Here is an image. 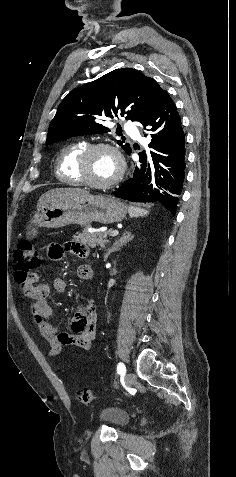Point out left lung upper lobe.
Returning <instances> with one entry per match:
<instances>
[{
  "mask_svg": "<svg viewBox=\"0 0 236 477\" xmlns=\"http://www.w3.org/2000/svg\"><path fill=\"white\" fill-rule=\"evenodd\" d=\"M162 88L156 81L131 69H116L71 91L50 123L46 144L74 136L110 131L103 122L125 117L144 125L154 113ZM121 129L118 126L116 134ZM131 153L128 143L117 141Z\"/></svg>",
  "mask_w": 236,
  "mask_h": 477,
  "instance_id": "5c2ea615",
  "label": "left lung upper lobe"
}]
</instances>
